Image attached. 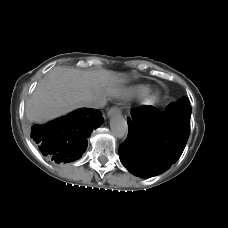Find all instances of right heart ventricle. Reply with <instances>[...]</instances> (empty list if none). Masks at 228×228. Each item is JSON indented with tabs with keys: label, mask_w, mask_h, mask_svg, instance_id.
<instances>
[{
	"label": "right heart ventricle",
	"mask_w": 228,
	"mask_h": 228,
	"mask_svg": "<svg viewBox=\"0 0 228 228\" xmlns=\"http://www.w3.org/2000/svg\"><path fill=\"white\" fill-rule=\"evenodd\" d=\"M149 90H150L149 87L145 85H136V86L130 87L125 93V96L127 98L141 97L147 94Z\"/></svg>",
	"instance_id": "1"
}]
</instances>
